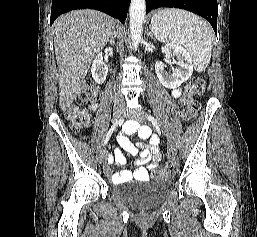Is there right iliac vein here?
<instances>
[{
    "instance_id": "1",
    "label": "right iliac vein",
    "mask_w": 257,
    "mask_h": 237,
    "mask_svg": "<svg viewBox=\"0 0 257 237\" xmlns=\"http://www.w3.org/2000/svg\"><path fill=\"white\" fill-rule=\"evenodd\" d=\"M124 113V109L123 107H115L113 109V117L115 120H118L122 117ZM106 148H103L102 151H101V154H100V158H99V161L101 164L105 163L106 162Z\"/></svg>"
}]
</instances>
